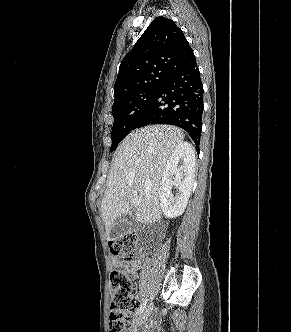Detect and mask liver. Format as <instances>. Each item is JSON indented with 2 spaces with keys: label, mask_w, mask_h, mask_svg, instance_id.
I'll return each instance as SVG.
<instances>
[{
  "label": "liver",
  "mask_w": 291,
  "mask_h": 332,
  "mask_svg": "<svg viewBox=\"0 0 291 332\" xmlns=\"http://www.w3.org/2000/svg\"><path fill=\"white\" fill-rule=\"evenodd\" d=\"M183 132L169 125H152L132 131L119 145L108 176L101 215L107 239L117 218L135 211V220L149 224L161 218V178ZM139 204L134 203V199Z\"/></svg>",
  "instance_id": "6515ba94"
}]
</instances>
